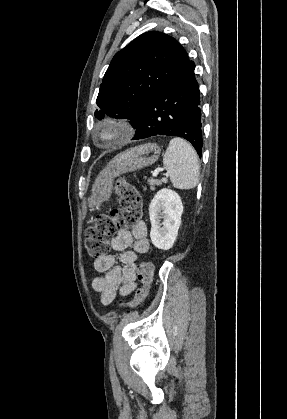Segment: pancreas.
Segmentation results:
<instances>
[{"mask_svg":"<svg viewBox=\"0 0 287 419\" xmlns=\"http://www.w3.org/2000/svg\"><path fill=\"white\" fill-rule=\"evenodd\" d=\"M148 184H149V186H150V189H151V190H154L156 185H157V186H159V185H161V184H162V181H160V180H155V179H149V180H148Z\"/></svg>","mask_w":287,"mask_h":419,"instance_id":"pancreas-1","label":"pancreas"}]
</instances>
